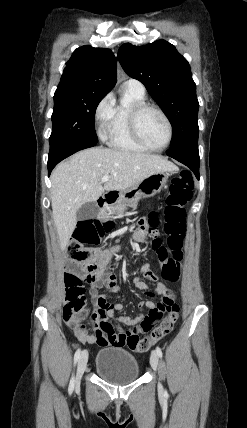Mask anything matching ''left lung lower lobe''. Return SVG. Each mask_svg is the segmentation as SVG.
<instances>
[{
  "label": "left lung lower lobe",
  "instance_id": "1",
  "mask_svg": "<svg viewBox=\"0 0 247 428\" xmlns=\"http://www.w3.org/2000/svg\"><path fill=\"white\" fill-rule=\"evenodd\" d=\"M167 155L188 166L193 171L196 178L199 179L200 158L198 145L180 149H170L167 151Z\"/></svg>",
  "mask_w": 247,
  "mask_h": 428
}]
</instances>
